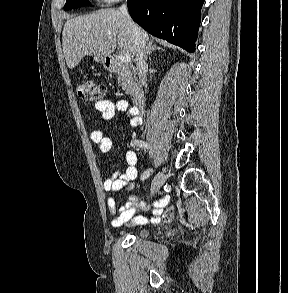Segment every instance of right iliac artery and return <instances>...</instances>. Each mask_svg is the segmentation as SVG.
I'll return each instance as SVG.
<instances>
[{"label":"right iliac artery","instance_id":"right-iliac-artery-1","mask_svg":"<svg viewBox=\"0 0 288 293\" xmlns=\"http://www.w3.org/2000/svg\"><path fill=\"white\" fill-rule=\"evenodd\" d=\"M134 143H135V145H137L140 148L145 149V148L148 147L147 143H145V142H143L141 140H135ZM150 173H151L150 169L144 171L143 174L141 175V180L144 181L145 179H147L150 176Z\"/></svg>","mask_w":288,"mask_h":293}]
</instances>
